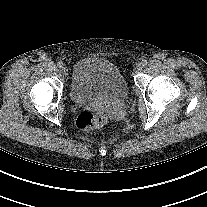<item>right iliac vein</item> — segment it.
I'll list each match as a JSON object with an SVG mask.
<instances>
[{"label": "right iliac vein", "instance_id": "1", "mask_svg": "<svg viewBox=\"0 0 207 207\" xmlns=\"http://www.w3.org/2000/svg\"><path fill=\"white\" fill-rule=\"evenodd\" d=\"M61 73L63 74V76H67L68 75V68L62 67Z\"/></svg>", "mask_w": 207, "mask_h": 207}]
</instances>
